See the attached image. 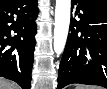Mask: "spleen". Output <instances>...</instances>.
<instances>
[{
	"label": "spleen",
	"instance_id": "1",
	"mask_svg": "<svg viewBox=\"0 0 107 89\" xmlns=\"http://www.w3.org/2000/svg\"><path fill=\"white\" fill-rule=\"evenodd\" d=\"M76 89H89V88L86 87V86L78 85V86L76 87ZM91 89H98V88L92 87Z\"/></svg>",
	"mask_w": 107,
	"mask_h": 89
}]
</instances>
